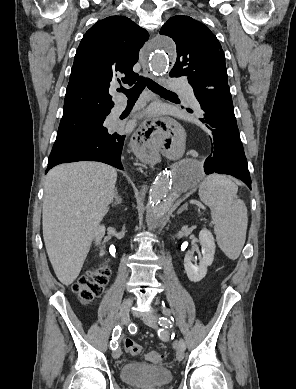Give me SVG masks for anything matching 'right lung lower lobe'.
<instances>
[{"label": "right lung lower lobe", "instance_id": "1", "mask_svg": "<svg viewBox=\"0 0 296 389\" xmlns=\"http://www.w3.org/2000/svg\"><path fill=\"white\" fill-rule=\"evenodd\" d=\"M125 137V135L103 130L89 136L54 144L46 173L61 163L88 160L123 169L120 156Z\"/></svg>", "mask_w": 296, "mask_h": 389}]
</instances>
